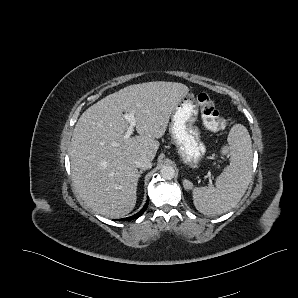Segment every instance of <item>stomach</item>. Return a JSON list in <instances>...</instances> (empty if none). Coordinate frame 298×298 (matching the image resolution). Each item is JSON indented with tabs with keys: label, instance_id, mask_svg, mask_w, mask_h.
I'll return each instance as SVG.
<instances>
[{
	"label": "stomach",
	"instance_id": "obj_1",
	"mask_svg": "<svg viewBox=\"0 0 298 298\" xmlns=\"http://www.w3.org/2000/svg\"><path fill=\"white\" fill-rule=\"evenodd\" d=\"M198 114L199 106L191 92L181 98L171 113V139L186 164H196L206 152V147L200 140V130L195 126Z\"/></svg>",
	"mask_w": 298,
	"mask_h": 298
}]
</instances>
